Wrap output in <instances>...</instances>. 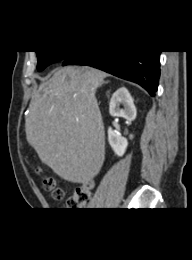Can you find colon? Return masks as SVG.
I'll return each instance as SVG.
<instances>
[{
    "label": "colon",
    "instance_id": "colon-1",
    "mask_svg": "<svg viewBox=\"0 0 192 260\" xmlns=\"http://www.w3.org/2000/svg\"><path fill=\"white\" fill-rule=\"evenodd\" d=\"M43 187L50 192L52 196L60 200L64 196L63 190L59 187L58 182L53 176L43 177ZM92 184L90 182L84 183L78 187L66 203V208L69 210L85 208L91 199Z\"/></svg>",
    "mask_w": 192,
    "mask_h": 260
}]
</instances>
